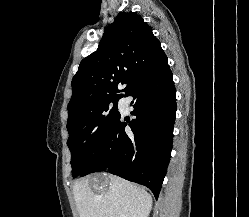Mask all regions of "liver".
Wrapping results in <instances>:
<instances>
[{
  "mask_svg": "<svg viewBox=\"0 0 249 217\" xmlns=\"http://www.w3.org/2000/svg\"><path fill=\"white\" fill-rule=\"evenodd\" d=\"M73 194L80 217H148L153 203L143 188L105 173L76 182Z\"/></svg>",
  "mask_w": 249,
  "mask_h": 217,
  "instance_id": "obj_1",
  "label": "liver"
}]
</instances>
